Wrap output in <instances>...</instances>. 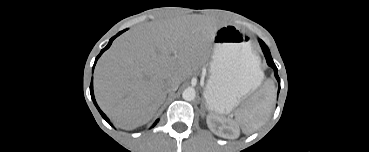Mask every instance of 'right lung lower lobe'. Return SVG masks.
I'll use <instances>...</instances> for the list:
<instances>
[{"instance_id":"98d812e1","label":"right lung lower lobe","mask_w":369,"mask_h":152,"mask_svg":"<svg viewBox=\"0 0 369 152\" xmlns=\"http://www.w3.org/2000/svg\"><path fill=\"white\" fill-rule=\"evenodd\" d=\"M125 31V30H124ZM124 31H122V32H124ZM122 32H119L116 36H114L113 38H111L110 39V41H109V43H108V45L101 51V53L97 56V58H96V60H95V64H96V62H97V59L101 56V54L106 50V49H108L109 47H110V45H111V43H112V41L118 36V35H120ZM95 64H94V66H95ZM90 93H91V98H92V100H93V102H94V104H95V106L97 107V109H98V111L100 112V114L102 115V117L110 124V125H112L110 122H109V119L106 117V115L100 110V108L98 107V105H97V103H96V101H95V98H94V94H93V82H91V85H90ZM159 120H157L154 124H153V127L157 124V122H158Z\"/></svg>"}]
</instances>
